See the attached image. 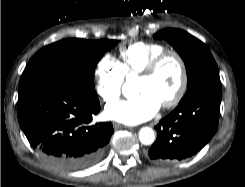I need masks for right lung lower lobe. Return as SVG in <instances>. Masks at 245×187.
Returning <instances> with one entry per match:
<instances>
[{
    "label": "right lung lower lobe",
    "mask_w": 245,
    "mask_h": 187,
    "mask_svg": "<svg viewBox=\"0 0 245 187\" xmlns=\"http://www.w3.org/2000/svg\"><path fill=\"white\" fill-rule=\"evenodd\" d=\"M100 111L94 94L58 83L39 82L19 90L18 120L33 148L67 170L97 162L113 134L110 122L91 125Z\"/></svg>",
    "instance_id": "right-lung-lower-lobe-1"
}]
</instances>
